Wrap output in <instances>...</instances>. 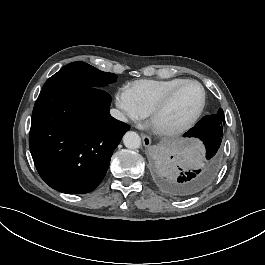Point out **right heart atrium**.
<instances>
[{"label": "right heart atrium", "mask_w": 265, "mask_h": 265, "mask_svg": "<svg viewBox=\"0 0 265 265\" xmlns=\"http://www.w3.org/2000/svg\"><path fill=\"white\" fill-rule=\"evenodd\" d=\"M118 109L124 121L129 125H142L146 120V113L138 110L133 100V93L127 86H120L115 91Z\"/></svg>", "instance_id": "1"}]
</instances>
